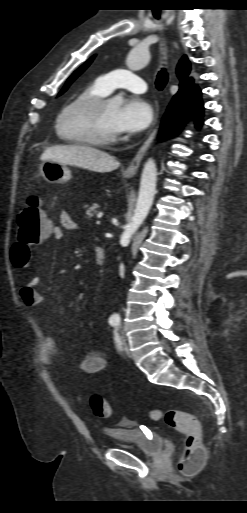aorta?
Listing matches in <instances>:
<instances>
[{"instance_id":"obj_1","label":"aorta","mask_w":247,"mask_h":513,"mask_svg":"<svg viewBox=\"0 0 247 513\" xmlns=\"http://www.w3.org/2000/svg\"><path fill=\"white\" fill-rule=\"evenodd\" d=\"M149 59L150 54L148 48L143 44H139L129 52L126 63L130 70L138 71L147 65ZM111 102L113 105L120 106L123 104L124 98L122 95H116L112 98ZM156 182L157 166L155 161L150 158L143 167L135 212L131 223L125 228L121 239L122 243L129 240L131 234L147 217L156 194ZM112 318H118V315L114 314Z\"/></svg>"}]
</instances>
